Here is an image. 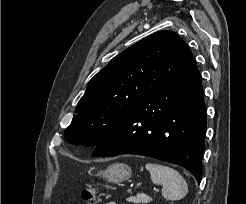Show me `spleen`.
Returning <instances> with one entry per match:
<instances>
[{
	"label": "spleen",
	"instance_id": "spleen-1",
	"mask_svg": "<svg viewBox=\"0 0 246 204\" xmlns=\"http://www.w3.org/2000/svg\"><path fill=\"white\" fill-rule=\"evenodd\" d=\"M154 184H161L162 196L168 200H180L188 193V185L183 176L175 169L157 163H147Z\"/></svg>",
	"mask_w": 246,
	"mask_h": 204
}]
</instances>
